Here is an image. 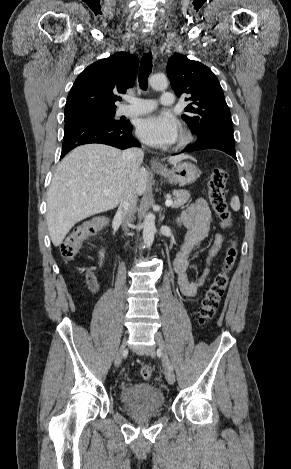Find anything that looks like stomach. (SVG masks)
Instances as JSON below:
<instances>
[{
	"mask_svg": "<svg viewBox=\"0 0 291 469\" xmlns=\"http://www.w3.org/2000/svg\"><path fill=\"white\" fill-rule=\"evenodd\" d=\"M155 172L170 182L180 185L191 184L195 182L199 176L198 168L191 162H182L175 164L171 169L166 167L155 170Z\"/></svg>",
	"mask_w": 291,
	"mask_h": 469,
	"instance_id": "0dacf381",
	"label": "stomach"
}]
</instances>
